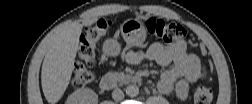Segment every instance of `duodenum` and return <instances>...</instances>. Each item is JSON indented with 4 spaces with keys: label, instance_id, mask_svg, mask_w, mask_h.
Listing matches in <instances>:
<instances>
[{
    "label": "duodenum",
    "instance_id": "410a0bca",
    "mask_svg": "<svg viewBox=\"0 0 252 104\" xmlns=\"http://www.w3.org/2000/svg\"><path fill=\"white\" fill-rule=\"evenodd\" d=\"M139 81L140 77L135 75L109 73L102 78L100 85L103 89L108 90L116 87L119 83L130 84Z\"/></svg>",
    "mask_w": 252,
    "mask_h": 104
}]
</instances>
